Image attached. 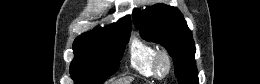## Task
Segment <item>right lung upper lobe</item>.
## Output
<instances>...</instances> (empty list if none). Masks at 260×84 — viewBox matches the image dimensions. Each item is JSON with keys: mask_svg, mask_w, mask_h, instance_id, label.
Returning <instances> with one entry per match:
<instances>
[{"mask_svg": "<svg viewBox=\"0 0 260 84\" xmlns=\"http://www.w3.org/2000/svg\"><path fill=\"white\" fill-rule=\"evenodd\" d=\"M131 31V20L129 16L120 19L117 23L109 25L105 28H95L90 32H86L81 36L77 37L74 41V45L84 44L91 42L110 34H119Z\"/></svg>", "mask_w": 260, "mask_h": 84, "instance_id": "cb5924a9", "label": "right lung upper lobe"}]
</instances>
